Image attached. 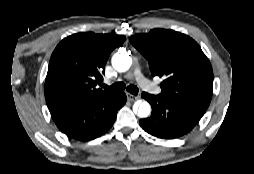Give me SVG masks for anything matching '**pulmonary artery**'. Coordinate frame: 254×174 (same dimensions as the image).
Returning a JSON list of instances; mask_svg holds the SVG:
<instances>
[{
	"instance_id": "pulmonary-artery-1",
	"label": "pulmonary artery",
	"mask_w": 254,
	"mask_h": 174,
	"mask_svg": "<svg viewBox=\"0 0 254 174\" xmlns=\"http://www.w3.org/2000/svg\"><path fill=\"white\" fill-rule=\"evenodd\" d=\"M134 76H135V79H136L137 83L139 84V86L142 89L148 90L153 94H159L160 93V89L158 87H156L155 85L151 84V82L143 76L140 69H136L134 71Z\"/></svg>"
}]
</instances>
